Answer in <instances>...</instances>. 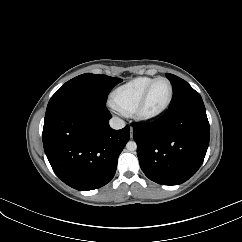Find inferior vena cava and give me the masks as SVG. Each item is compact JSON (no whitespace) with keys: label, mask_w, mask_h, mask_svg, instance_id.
Instances as JSON below:
<instances>
[{"label":"inferior vena cava","mask_w":242,"mask_h":242,"mask_svg":"<svg viewBox=\"0 0 242 242\" xmlns=\"http://www.w3.org/2000/svg\"><path fill=\"white\" fill-rule=\"evenodd\" d=\"M111 128L119 130L125 127V122L124 120L118 118V117H113L110 119L109 122Z\"/></svg>","instance_id":"1"}]
</instances>
